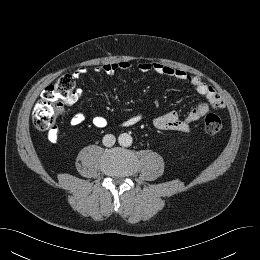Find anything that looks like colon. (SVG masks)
Here are the masks:
<instances>
[{
  "mask_svg": "<svg viewBox=\"0 0 260 260\" xmlns=\"http://www.w3.org/2000/svg\"><path fill=\"white\" fill-rule=\"evenodd\" d=\"M77 98L75 80L71 75H63L43 91L41 99L33 110V123L42 131L55 132L58 117L65 106L72 104ZM205 131L217 135L222 129L221 118L215 113H209L203 121Z\"/></svg>",
  "mask_w": 260,
  "mask_h": 260,
  "instance_id": "obj_1",
  "label": "colon"
}]
</instances>
